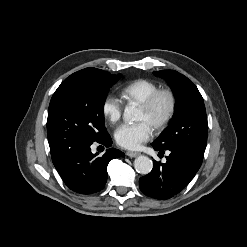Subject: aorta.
<instances>
[{
  "instance_id": "1",
  "label": "aorta",
  "mask_w": 247,
  "mask_h": 247,
  "mask_svg": "<svg viewBox=\"0 0 247 247\" xmlns=\"http://www.w3.org/2000/svg\"><path fill=\"white\" fill-rule=\"evenodd\" d=\"M123 118L125 121H136L138 119V110L134 106H127L124 110ZM134 167L140 174H148L153 168L152 160L147 156H138L134 161Z\"/></svg>"
}]
</instances>
